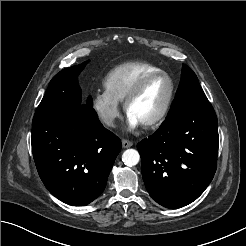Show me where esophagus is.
Returning <instances> with one entry per match:
<instances>
[{"label":"esophagus","mask_w":246,"mask_h":246,"mask_svg":"<svg viewBox=\"0 0 246 246\" xmlns=\"http://www.w3.org/2000/svg\"><path fill=\"white\" fill-rule=\"evenodd\" d=\"M132 145H133V143H132L131 141L126 140V139H123V140H122V146H123V148H129V147H131Z\"/></svg>","instance_id":"obj_1"}]
</instances>
